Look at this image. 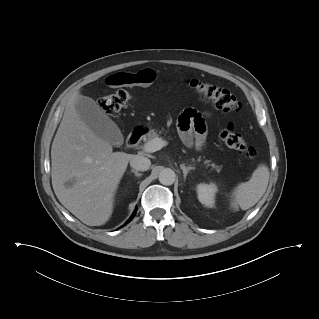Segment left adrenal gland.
<instances>
[{"label": "left adrenal gland", "instance_id": "1", "mask_svg": "<svg viewBox=\"0 0 319 319\" xmlns=\"http://www.w3.org/2000/svg\"><path fill=\"white\" fill-rule=\"evenodd\" d=\"M180 168H181L182 171H183L184 180L186 179V176L188 175L189 171L195 169L194 166H188V167H186L184 164H181V165H180Z\"/></svg>", "mask_w": 319, "mask_h": 319}]
</instances>
